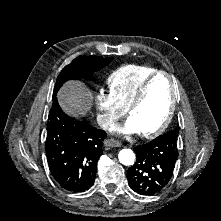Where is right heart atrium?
Returning a JSON list of instances; mask_svg holds the SVG:
<instances>
[{
  "label": "right heart atrium",
  "instance_id": "obj_1",
  "mask_svg": "<svg viewBox=\"0 0 221 221\" xmlns=\"http://www.w3.org/2000/svg\"><path fill=\"white\" fill-rule=\"evenodd\" d=\"M97 120L101 127L107 129L113 125L122 113V107L111 92L100 90L95 98Z\"/></svg>",
  "mask_w": 221,
  "mask_h": 221
}]
</instances>
